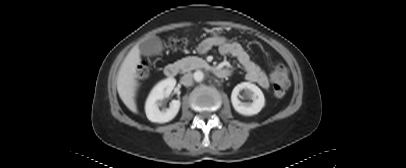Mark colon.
Returning <instances> with one entry per match:
<instances>
[{
  "label": "colon",
  "mask_w": 406,
  "mask_h": 168,
  "mask_svg": "<svg viewBox=\"0 0 406 168\" xmlns=\"http://www.w3.org/2000/svg\"><path fill=\"white\" fill-rule=\"evenodd\" d=\"M152 61L149 58L142 60L138 69V75L143 77L151 67ZM273 91L276 97L285 95L289 86V77L287 69L283 65H277L272 72Z\"/></svg>",
  "instance_id": "obj_1"
}]
</instances>
